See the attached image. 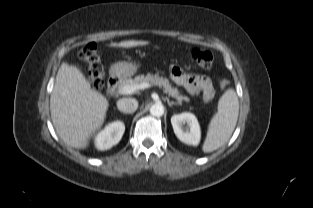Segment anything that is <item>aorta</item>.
Masks as SVG:
<instances>
[{"label":"aorta","instance_id":"aorta-1","mask_svg":"<svg viewBox=\"0 0 313 208\" xmlns=\"http://www.w3.org/2000/svg\"><path fill=\"white\" fill-rule=\"evenodd\" d=\"M150 113L152 116L160 117L164 114V106L162 103H155L150 108Z\"/></svg>","mask_w":313,"mask_h":208}]
</instances>
